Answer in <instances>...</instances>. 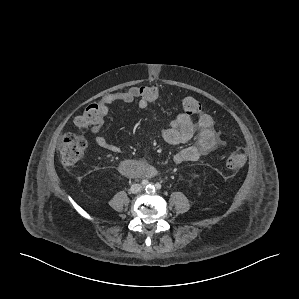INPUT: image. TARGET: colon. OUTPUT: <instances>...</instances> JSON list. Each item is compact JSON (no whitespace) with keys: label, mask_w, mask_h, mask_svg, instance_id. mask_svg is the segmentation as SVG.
I'll return each instance as SVG.
<instances>
[{"label":"colon","mask_w":299,"mask_h":299,"mask_svg":"<svg viewBox=\"0 0 299 299\" xmlns=\"http://www.w3.org/2000/svg\"><path fill=\"white\" fill-rule=\"evenodd\" d=\"M140 95L149 105L155 104L159 99V89L156 85L139 87ZM182 111L187 116L196 115L201 111L200 103L193 97H185L181 103ZM102 116L99 103H93L86 107L81 115L76 117L75 124L82 129L97 124ZM87 142L82 136L65 134L59 145L61 161L65 165H72L79 161L85 154ZM246 163V155L242 149L230 153L226 165L230 169H239Z\"/></svg>","instance_id":"obj_1"}]
</instances>
